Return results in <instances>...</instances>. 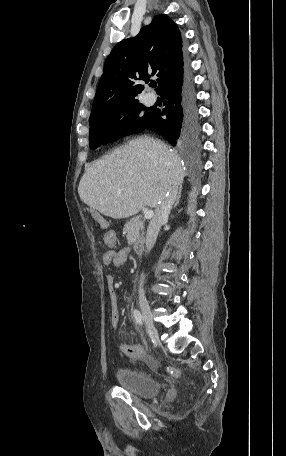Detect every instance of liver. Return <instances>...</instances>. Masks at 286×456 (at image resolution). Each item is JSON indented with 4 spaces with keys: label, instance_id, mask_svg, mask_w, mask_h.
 I'll list each match as a JSON object with an SVG mask.
<instances>
[{
    "label": "liver",
    "instance_id": "obj_1",
    "mask_svg": "<svg viewBox=\"0 0 286 456\" xmlns=\"http://www.w3.org/2000/svg\"><path fill=\"white\" fill-rule=\"evenodd\" d=\"M184 176L174 151L158 139L141 137L93 162L80 180L78 194L91 208L120 219L145 206L157 207L165 192L178 190Z\"/></svg>",
    "mask_w": 286,
    "mask_h": 456
}]
</instances>
